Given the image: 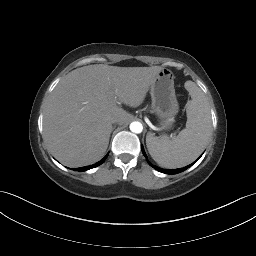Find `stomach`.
<instances>
[{
	"mask_svg": "<svg viewBox=\"0 0 256 256\" xmlns=\"http://www.w3.org/2000/svg\"><path fill=\"white\" fill-rule=\"evenodd\" d=\"M150 94L152 110L156 114L161 128L169 129L179 111L173 73L168 69H162L151 86Z\"/></svg>",
	"mask_w": 256,
	"mask_h": 256,
	"instance_id": "stomach-1",
	"label": "stomach"
}]
</instances>
